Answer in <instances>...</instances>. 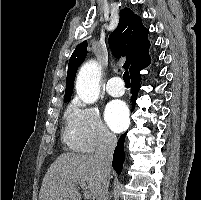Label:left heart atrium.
<instances>
[{
	"label": "left heart atrium",
	"instance_id": "1",
	"mask_svg": "<svg viewBox=\"0 0 201 200\" xmlns=\"http://www.w3.org/2000/svg\"><path fill=\"white\" fill-rule=\"evenodd\" d=\"M105 119L113 131H122L128 124V108L126 104L119 100L110 102L106 107Z\"/></svg>",
	"mask_w": 201,
	"mask_h": 200
}]
</instances>
